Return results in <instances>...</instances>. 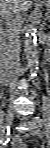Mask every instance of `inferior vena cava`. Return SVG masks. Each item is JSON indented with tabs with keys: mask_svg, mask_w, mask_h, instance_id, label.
<instances>
[{
	"mask_svg": "<svg viewBox=\"0 0 50 148\" xmlns=\"http://www.w3.org/2000/svg\"><path fill=\"white\" fill-rule=\"evenodd\" d=\"M4 19V28L1 34V48L10 64L12 71V85L10 87L11 98L17 95L16 83L23 73L22 68L18 65L20 53L19 30L21 27L20 10H4L2 15Z\"/></svg>",
	"mask_w": 50,
	"mask_h": 148,
	"instance_id": "inferior-vena-cava-1",
	"label": "inferior vena cava"
}]
</instances>
